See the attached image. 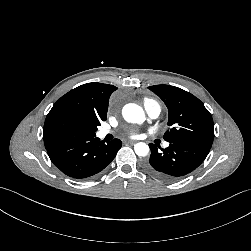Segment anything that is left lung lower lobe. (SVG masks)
<instances>
[{"label":"left lung lower lobe","instance_id":"obj_1","mask_svg":"<svg viewBox=\"0 0 251 251\" xmlns=\"http://www.w3.org/2000/svg\"><path fill=\"white\" fill-rule=\"evenodd\" d=\"M168 148L158 150L149 144L151 156L147 170L164 181H175L196 169L207 157L210 148L191 142H169Z\"/></svg>","mask_w":251,"mask_h":251}]
</instances>
